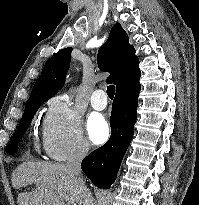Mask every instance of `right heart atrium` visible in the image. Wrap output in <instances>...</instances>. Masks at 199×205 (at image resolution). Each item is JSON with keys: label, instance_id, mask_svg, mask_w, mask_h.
I'll return each mask as SVG.
<instances>
[{"label": "right heart atrium", "instance_id": "right-heart-atrium-1", "mask_svg": "<svg viewBox=\"0 0 199 205\" xmlns=\"http://www.w3.org/2000/svg\"><path fill=\"white\" fill-rule=\"evenodd\" d=\"M42 142L46 155L55 161L87 155L89 144L69 99L56 96L48 102L43 120Z\"/></svg>", "mask_w": 199, "mask_h": 205}]
</instances>
